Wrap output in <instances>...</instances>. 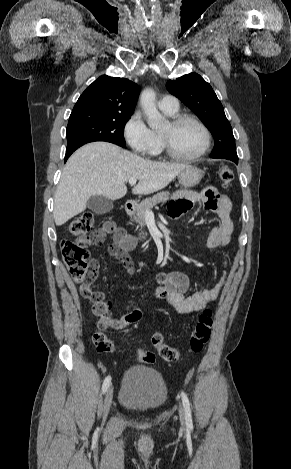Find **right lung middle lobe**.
<instances>
[{"label":"right lung middle lobe","mask_w":291,"mask_h":469,"mask_svg":"<svg viewBox=\"0 0 291 469\" xmlns=\"http://www.w3.org/2000/svg\"><path fill=\"white\" fill-rule=\"evenodd\" d=\"M130 117L97 112L71 113L66 129L67 143L107 141L124 147L123 131Z\"/></svg>","instance_id":"1"}]
</instances>
